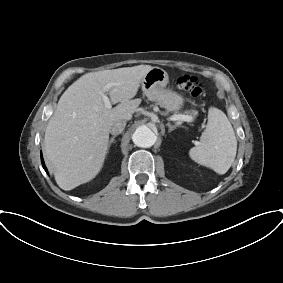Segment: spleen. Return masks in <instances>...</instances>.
<instances>
[{
    "mask_svg": "<svg viewBox=\"0 0 283 283\" xmlns=\"http://www.w3.org/2000/svg\"><path fill=\"white\" fill-rule=\"evenodd\" d=\"M236 151L237 140L230 121L223 111L210 107L200 145L190 149V158L218 174H225L234 162Z\"/></svg>",
    "mask_w": 283,
    "mask_h": 283,
    "instance_id": "obj_1",
    "label": "spleen"
}]
</instances>
